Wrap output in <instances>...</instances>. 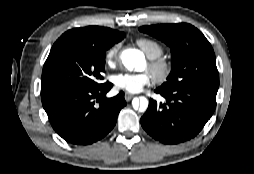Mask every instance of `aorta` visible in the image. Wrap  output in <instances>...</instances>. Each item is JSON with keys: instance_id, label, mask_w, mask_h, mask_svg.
Wrapping results in <instances>:
<instances>
[{"instance_id": "aorta-1", "label": "aorta", "mask_w": 254, "mask_h": 174, "mask_svg": "<svg viewBox=\"0 0 254 174\" xmlns=\"http://www.w3.org/2000/svg\"><path fill=\"white\" fill-rule=\"evenodd\" d=\"M143 58V54L136 49H127L121 54L124 66L130 71L137 68L143 62ZM132 106L135 110L139 109V111L144 112L148 107V100L145 97L134 98Z\"/></svg>"}]
</instances>
